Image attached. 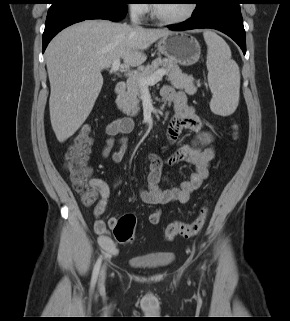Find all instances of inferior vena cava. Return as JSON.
I'll list each match as a JSON object with an SVG mask.
<instances>
[{"mask_svg":"<svg viewBox=\"0 0 290 321\" xmlns=\"http://www.w3.org/2000/svg\"><path fill=\"white\" fill-rule=\"evenodd\" d=\"M137 13H138V9L137 8H134V9L131 10V21H132L133 25H135V26L138 24V22H137V20H138Z\"/></svg>","mask_w":290,"mask_h":321,"instance_id":"inferior-vena-cava-1","label":"inferior vena cava"}]
</instances>
